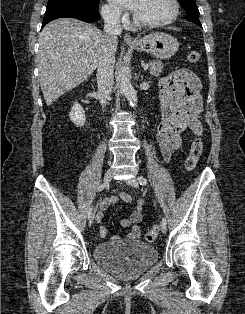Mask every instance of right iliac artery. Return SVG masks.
I'll return each instance as SVG.
<instances>
[{
    "label": "right iliac artery",
    "mask_w": 245,
    "mask_h": 314,
    "mask_svg": "<svg viewBox=\"0 0 245 314\" xmlns=\"http://www.w3.org/2000/svg\"><path fill=\"white\" fill-rule=\"evenodd\" d=\"M103 188H104V185H103V184L99 185L98 191H99V192L102 191ZM92 211H95L93 207H91V208L89 209L88 215H89Z\"/></svg>",
    "instance_id": "right-iliac-artery-1"
}]
</instances>
